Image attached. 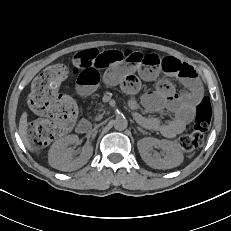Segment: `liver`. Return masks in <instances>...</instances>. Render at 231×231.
<instances>
[{"label":"liver","instance_id":"obj_1","mask_svg":"<svg viewBox=\"0 0 231 231\" xmlns=\"http://www.w3.org/2000/svg\"><path fill=\"white\" fill-rule=\"evenodd\" d=\"M27 129H28V123H27V113L24 112L21 115L20 121H19V134L22 138L23 143L27 147L28 150L31 152H35L34 147L29 142V139L27 138Z\"/></svg>","mask_w":231,"mask_h":231}]
</instances>
